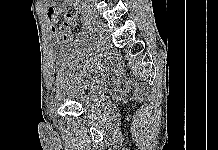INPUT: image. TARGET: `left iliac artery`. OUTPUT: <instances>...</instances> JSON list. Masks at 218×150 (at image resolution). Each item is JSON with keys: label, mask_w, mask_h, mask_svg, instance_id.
Here are the masks:
<instances>
[{"label": "left iliac artery", "mask_w": 218, "mask_h": 150, "mask_svg": "<svg viewBox=\"0 0 218 150\" xmlns=\"http://www.w3.org/2000/svg\"><path fill=\"white\" fill-rule=\"evenodd\" d=\"M88 25L91 27L93 24L90 22ZM90 31H91V33H93L94 35L97 33V32H96V28H94V27H91V28H90Z\"/></svg>", "instance_id": "obj_1"}]
</instances>
